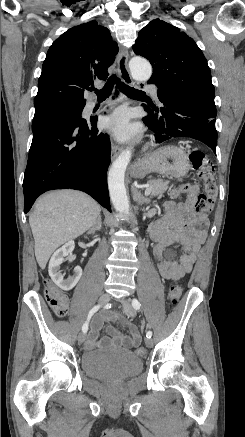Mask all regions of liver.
<instances>
[{"instance_id": "obj_1", "label": "liver", "mask_w": 245, "mask_h": 437, "mask_svg": "<svg viewBox=\"0 0 245 437\" xmlns=\"http://www.w3.org/2000/svg\"><path fill=\"white\" fill-rule=\"evenodd\" d=\"M100 212L97 202L82 192L60 190L42 196L29 217L40 268L45 269L59 246L92 228Z\"/></svg>"}]
</instances>
